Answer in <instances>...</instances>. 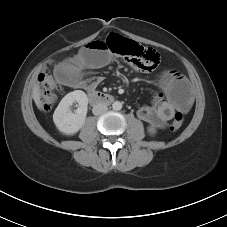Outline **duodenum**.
Here are the masks:
<instances>
[{
  "mask_svg": "<svg viewBox=\"0 0 227 227\" xmlns=\"http://www.w3.org/2000/svg\"><path fill=\"white\" fill-rule=\"evenodd\" d=\"M88 98L94 105L110 104L114 101V97L112 95L98 91H89Z\"/></svg>",
  "mask_w": 227,
  "mask_h": 227,
  "instance_id": "duodenum-1",
  "label": "duodenum"
}]
</instances>
